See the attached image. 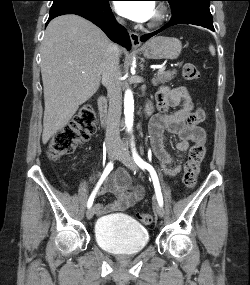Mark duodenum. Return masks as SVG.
I'll use <instances>...</instances> for the list:
<instances>
[{"mask_svg":"<svg viewBox=\"0 0 250 285\" xmlns=\"http://www.w3.org/2000/svg\"><path fill=\"white\" fill-rule=\"evenodd\" d=\"M98 108L100 114V120L103 125L106 124L108 114V104L104 96H101L98 100Z\"/></svg>","mask_w":250,"mask_h":285,"instance_id":"obj_1","label":"duodenum"}]
</instances>
